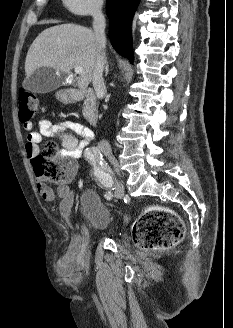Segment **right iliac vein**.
Listing matches in <instances>:
<instances>
[{"mask_svg":"<svg viewBox=\"0 0 233 328\" xmlns=\"http://www.w3.org/2000/svg\"><path fill=\"white\" fill-rule=\"evenodd\" d=\"M101 152L110 161L111 165L114 168L115 173L117 174V177L114 180L115 196L117 198H121L124 195V185H123V181L120 178V169H119L118 161L113 155L110 147L107 146L101 147Z\"/></svg>","mask_w":233,"mask_h":328,"instance_id":"obj_1","label":"right iliac vein"}]
</instances>
